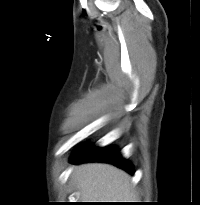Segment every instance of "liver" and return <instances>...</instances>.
Masks as SVG:
<instances>
[{
  "label": "liver",
  "instance_id": "obj_1",
  "mask_svg": "<svg viewBox=\"0 0 200 205\" xmlns=\"http://www.w3.org/2000/svg\"><path fill=\"white\" fill-rule=\"evenodd\" d=\"M71 177L81 192L82 200H101L84 202H127L136 199L130 176L113 165L81 164L74 168Z\"/></svg>",
  "mask_w": 200,
  "mask_h": 205
}]
</instances>
